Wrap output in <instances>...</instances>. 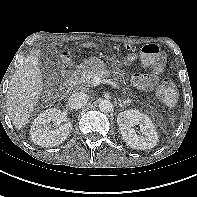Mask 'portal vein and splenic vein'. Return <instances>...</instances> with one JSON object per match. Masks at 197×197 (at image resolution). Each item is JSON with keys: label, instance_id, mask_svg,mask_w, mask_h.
I'll use <instances>...</instances> for the list:
<instances>
[{"label": "portal vein and splenic vein", "instance_id": "obj_1", "mask_svg": "<svg viewBox=\"0 0 197 197\" xmlns=\"http://www.w3.org/2000/svg\"><path fill=\"white\" fill-rule=\"evenodd\" d=\"M101 83L102 84H109V85H112L113 87L119 89L118 84L115 81L111 80V79H105V78L102 79V78L97 77V76L93 78V86H97V85H99Z\"/></svg>", "mask_w": 197, "mask_h": 197}]
</instances>
